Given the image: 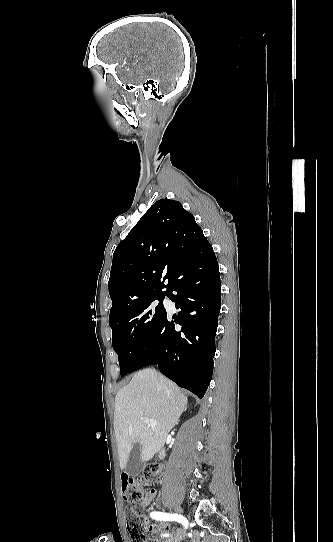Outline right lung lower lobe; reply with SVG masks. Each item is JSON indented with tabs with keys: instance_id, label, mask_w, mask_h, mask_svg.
<instances>
[{
	"instance_id": "right-lung-lower-lobe-1",
	"label": "right lung lower lobe",
	"mask_w": 333,
	"mask_h": 542,
	"mask_svg": "<svg viewBox=\"0 0 333 542\" xmlns=\"http://www.w3.org/2000/svg\"><path fill=\"white\" fill-rule=\"evenodd\" d=\"M177 266L180 278L166 296L181 311L177 317L166 316L162 320L153 343L137 359L131 372L158 365L178 386L202 398L212 377L216 351L221 308L218 262L206 239L183 247L177 255ZM177 324L181 326L179 331Z\"/></svg>"
}]
</instances>
